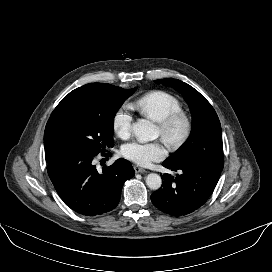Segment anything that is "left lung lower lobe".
<instances>
[{"label": "left lung lower lobe", "mask_w": 272, "mask_h": 272, "mask_svg": "<svg viewBox=\"0 0 272 272\" xmlns=\"http://www.w3.org/2000/svg\"><path fill=\"white\" fill-rule=\"evenodd\" d=\"M163 166L178 172L175 177L164 174L160 189L152 193L155 207L172 216H183L198 210L204 205L220 178L222 170L207 167L191 160L170 163Z\"/></svg>", "instance_id": "left-lung-lower-lobe-1"}]
</instances>
